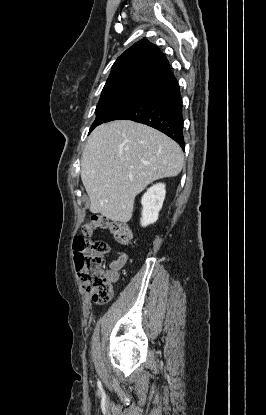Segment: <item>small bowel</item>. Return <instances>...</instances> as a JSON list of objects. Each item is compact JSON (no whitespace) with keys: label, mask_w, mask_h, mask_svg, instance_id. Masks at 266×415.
<instances>
[{"label":"small bowel","mask_w":266,"mask_h":415,"mask_svg":"<svg viewBox=\"0 0 266 415\" xmlns=\"http://www.w3.org/2000/svg\"><path fill=\"white\" fill-rule=\"evenodd\" d=\"M128 256L124 252H119L116 259H111L108 262L109 269L108 273L111 275L112 283L116 282L119 275V270L125 265ZM101 303V302H98Z\"/></svg>","instance_id":"c3829d8e"}]
</instances>
